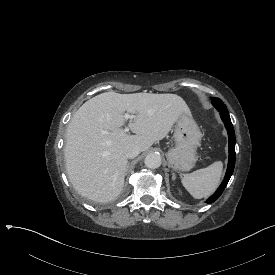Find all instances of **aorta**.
Segmentation results:
<instances>
[{
	"instance_id": "1",
	"label": "aorta",
	"mask_w": 275,
	"mask_h": 275,
	"mask_svg": "<svg viewBox=\"0 0 275 275\" xmlns=\"http://www.w3.org/2000/svg\"><path fill=\"white\" fill-rule=\"evenodd\" d=\"M161 163V156L155 152L149 153L145 158V165L149 168H158Z\"/></svg>"
}]
</instances>
